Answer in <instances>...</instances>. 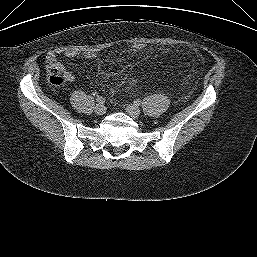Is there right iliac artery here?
<instances>
[{
  "label": "right iliac artery",
  "instance_id": "1",
  "mask_svg": "<svg viewBox=\"0 0 257 257\" xmlns=\"http://www.w3.org/2000/svg\"><path fill=\"white\" fill-rule=\"evenodd\" d=\"M96 101L99 103V104H103L105 102V98H103L102 96H97L96 97Z\"/></svg>",
  "mask_w": 257,
  "mask_h": 257
}]
</instances>
